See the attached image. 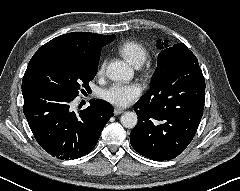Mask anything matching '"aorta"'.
I'll return each mask as SVG.
<instances>
[{
  "instance_id": "762f6f07",
  "label": "aorta",
  "mask_w": 240,
  "mask_h": 191,
  "mask_svg": "<svg viewBox=\"0 0 240 191\" xmlns=\"http://www.w3.org/2000/svg\"><path fill=\"white\" fill-rule=\"evenodd\" d=\"M107 77L113 81L130 80L133 78V69L124 61H113L109 63L106 69ZM138 118L134 112H125L121 116V124L128 129L137 125Z\"/></svg>"
}]
</instances>
